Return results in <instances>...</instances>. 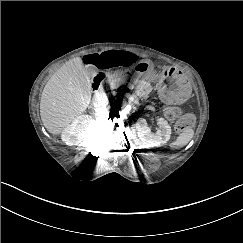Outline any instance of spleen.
<instances>
[{
    "mask_svg": "<svg viewBox=\"0 0 243 243\" xmlns=\"http://www.w3.org/2000/svg\"><path fill=\"white\" fill-rule=\"evenodd\" d=\"M194 130L191 128H186L180 135L177 137L176 141L170 144V147H183L193 138Z\"/></svg>",
    "mask_w": 243,
    "mask_h": 243,
    "instance_id": "spleen-1",
    "label": "spleen"
}]
</instances>
